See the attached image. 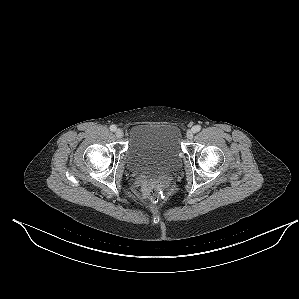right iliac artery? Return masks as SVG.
<instances>
[{
  "mask_svg": "<svg viewBox=\"0 0 299 299\" xmlns=\"http://www.w3.org/2000/svg\"><path fill=\"white\" fill-rule=\"evenodd\" d=\"M116 129H117V128H116L115 125H111V126H110V130H111L112 132L116 131Z\"/></svg>",
  "mask_w": 299,
  "mask_h": 299,
  "instance_id": "1",
  "label": "right iliac artery"
}]
</instances>
